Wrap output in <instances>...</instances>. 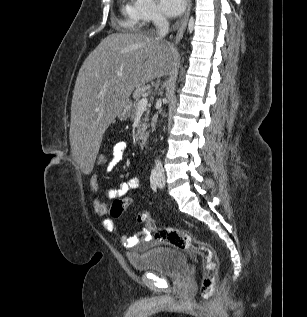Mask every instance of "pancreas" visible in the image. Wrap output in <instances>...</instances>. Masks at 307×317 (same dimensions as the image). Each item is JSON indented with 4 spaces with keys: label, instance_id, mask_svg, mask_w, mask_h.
<instances>
[{
    "label": "pancreas",
    "instance_id": "cf45deb5",
    "mask_svg": "<svg viewBox=\"0 0 307 317\" xmlns=\"http://www.w3.org/2000/svg\"><path fill=\"white\" fill-rule=\"evenodd\" d=\"M141 94H142V90L141 89L136 90L135 93H134L135 102L132 105V108H131V111H130V115H129L131 120H134V118H135V114L137 112L138 100H139V97L141 96ZM148 120H149V111L147 110L145 115H144V118L142 119V122L137 127V133L134 135V139L136 141H138V140L145 141V139H146L145 132H146V129H147Z\"/></svg>",
    "mask_w": 307,
    "mask_h": 317
}]
</instances>
